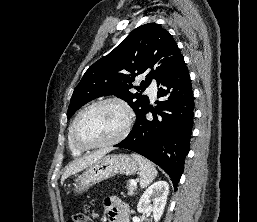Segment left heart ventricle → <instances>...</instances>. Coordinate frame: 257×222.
I'll use <instances>...</instances> for the list:
<instances>
[{"instance_id": "obj_1", "label": "left heart ventricle", "mask_w": 257, "mask_h": 222, "mask_svg": "<svg viewBox=\"0 0 257 222\" xmlns=\"http://www.w3.org/2000/svg\"><path fill=\"white\" fill-rule=\"evenodd\" d=\"M125 113L115 104H104L88 111L79 121L76 135L86 144H97L117 136L123 129Z\"/></svg>"}]
</instances>
